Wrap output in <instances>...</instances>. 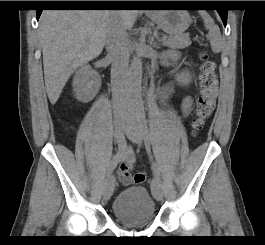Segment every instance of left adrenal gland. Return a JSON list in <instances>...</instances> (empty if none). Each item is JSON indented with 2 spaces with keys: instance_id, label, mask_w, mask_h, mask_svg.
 Here are the masks:
<instances>
[{
  "instance_id": "obj_1",
  "label": "left adrenal gland",
  "mask_w": 265,
  "mask_h": 245,
  "mask_svg": "<svg viewBox=\"0 0 265 245\" xmlns=\"http://www.w3.org/2000/svg\"><path fill=\"white\" fill-rule=\"evenodd\" d=\"M153 47L160 48V44L154 42V43H153Z\"/></svg>"
}]
</instances>
